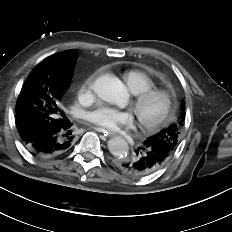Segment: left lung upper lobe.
Returning <instances> with one entry per match:
<instances>
[{
  "mask_svg": "<svg viewBox=\"0 0 232 232\" xmlns=\"http://www.w3.org/2000/svg\"><path fill=\"white\" fill-rule=\"evenodd\" d=\"M180 110V117L176 123L171 124L160 133L148 137L145 141H149L163 147L172 155L178 145L180 129L183 126L185 119V103L181 104Z\"/></svg>",
  "mask_w": 232,
  "mask_h": 232,
  "instance_id": "5c2ea615",
  "label": "left lung upper lobe"
}]
</instances>
